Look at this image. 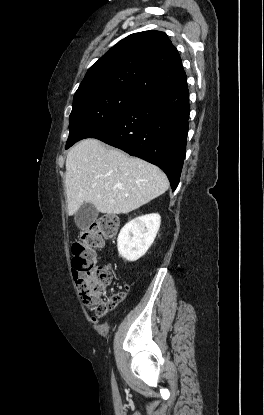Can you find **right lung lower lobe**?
Segmentation results:
<instances>
[{
  "label": "right lung lower lobe",
  "instance_id": "right-lung-lower-lobe-1",
  "mask_svg": "<svg viewBox=\"0 0 264 415\" xmlns=\"http://www.w3.org/2000/svg\"><path fill=\"white\" fill-rule=\"evenodd\" d=\"M189 114V91L184 80L142 98L88 138L159 166L174 191L185 159Z\"/></svg>",
  "mask_w": 264,
  "mask_h": 415
}]
</instances>
